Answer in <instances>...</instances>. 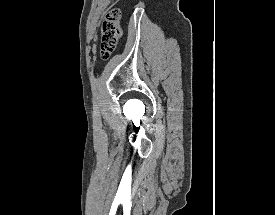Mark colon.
I'll use <instances>...</instances> for the list:
<instances>
[{
    "mask_svg": "<svg viewBox=\"0 0 275 215\" xmlns=\"http://www.w3.org/2000/svg\"><path fill=\"white\" fill-rule=\"evenodd\" d=\"M121 12L119 8H111L103 21L100 35L99 48L103 58H109L114 52L121 36Z\"/></svg>",
    "mask_w": 275,
    "mask_h": 215,
    "instance_id": "colon-1",
    "label": "colon"
}]
</instances>
